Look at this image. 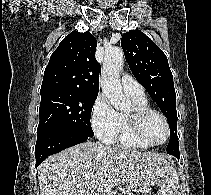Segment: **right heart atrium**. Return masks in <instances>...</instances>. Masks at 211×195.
Instances as JSON below:
<instances>
[{
  "instance_id": "right-heart-atrium-1",
  "label": "right heart atrium",
  "mask_w": 211,
  "mask_h": 195,
  "mask_svg": "<svg viewBox=\"0 0 211 195\" xmlns=\"http://www.w3.org/2000/svg\"><path fill=\"white\" fill-rule=\"evenodd\" d=\"M91 126L95 135L104 143L116 140L119 129V113L104 96H98L91 111Z\"/></svg>"
}]
</instances>
